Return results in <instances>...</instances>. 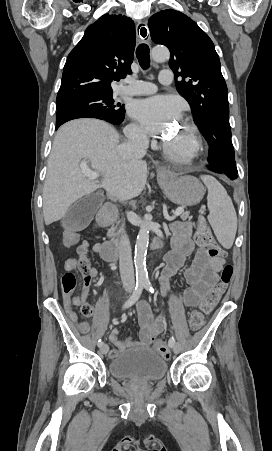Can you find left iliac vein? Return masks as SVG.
I'll use <instances>...</instances> for the list:
<instances>
[{
  "label": "left iliac vein",
  "instance_id": "1",
  "mask_svg": "<svg viewBox=\"0 0 272 451\" xmlns=\"http://www.w3.org/2000/svg\"><path fill=\"white\" fill-rule=\"evenodd\" d=\"M179 352H180V346L178 344H176L174 347V353H179Z\"/></svg>",
  "mask_w": 272,
  "mask_h": 451
}]
</instances>
